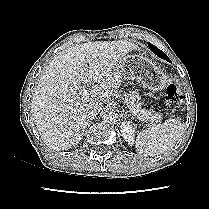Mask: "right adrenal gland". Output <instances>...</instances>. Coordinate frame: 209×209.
Returning a JSON list of instances; mask_svg holds the SVG:
<instances>
[{
	"mask_svg": "<svg viewBox=\"0 0 209 209\" xmlns=\"http://www.w3.org/2000/svg\"><path fill=\"white\" fill-rule=\"evenodd\" d=\"M94 119V117H91L90 119H89V122L91 121V120H93Z\"/></svg>",
	"mask_w": 209,
	"mask_h": 209,
	"instance_id": "2a0ac1e0",
	"label": "right adrenal gland"
}]
</instances>
